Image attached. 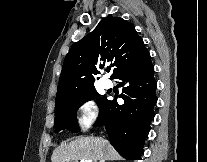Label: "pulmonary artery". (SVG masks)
Listing matches in <instances>:
<instances>
[{"instance_id": "pulmonary-artery-1", "label": "pulmonary artery", "mask_w": 207, "mask_h": 162, "mask_svg": "<svg viewBox=\"0 0 207 162\" xmlns=\"http://www.w3.org/2000/svg\"><path fill=\"white\" fill-rule=\"evenodd\" d=\"M104 87H105L106 89H111V88L113 87V83H112L110 80H106V81L104 82Z\"/></svg>"}]
</instances>
